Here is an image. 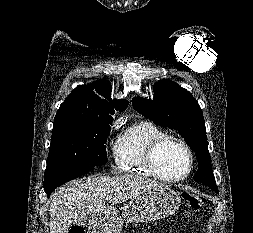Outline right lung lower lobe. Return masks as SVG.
Masks as SVG:
<instances>
[{
    "instance_id": "98d812e1",
    "label": "right lung lower lobe",
    "mask_w": 253,
    "mask_h": 233,
    "mask_svg": "<svg viewBox=\"0 0 253 233\" xmlns=\"http://www.w3.org/2000/svg\"><path fill=\"white\" fill-rule=\"evenodd\" d=\"M91 169L88 167H70L45 175L44 190L47 197H50L51 192L58 186L89 172Z\"/></svg>"
}]
</instances>
